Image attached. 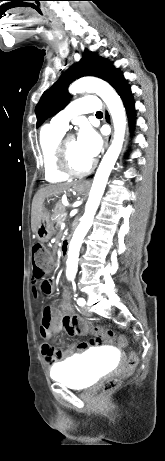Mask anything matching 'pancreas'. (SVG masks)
Instances as JSON below:
<instances>
[{"label":"pancreas","instance_id":"1","mask_svg":"<svg viewBox=\"0 0 165 461\" xmlns=\"http://www.w3.org/2000/svg\"><path fill=\"white\" fill-rule=\"evenodd\" d=\"M65 209L66 208L64 205H62L61 203H57L56 207L53 210L52 217L57 227L65 220V217L63 216Z\"/></svg>","mask_w":165,"mask_h":461}]
</instances>
